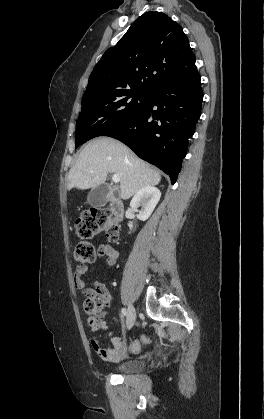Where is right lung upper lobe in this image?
<instances>
[{"instance_id":"obj_1","label":"right lung upper lobe","mask_w":264,"mask_h":419,"mask_svg":"<svg viewBox=\"0 0 264 419\" xmlns=\"http://www.w3.org/2000/svg\"><path fill=\"white\" fill-rule=\"evenodd\" d=\"M197 74L195 55L181 26L164 13L147 12L101 57L84 96L134 88L151 91Z\"/></svg>"}]
</instances>
